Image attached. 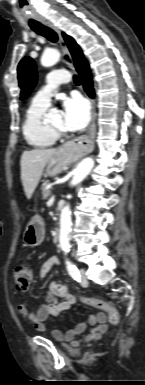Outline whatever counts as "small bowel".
Listing matches in <instances>:
<instances>
[{"instance_id":"1","label":"small bowel","mask_w":145,"mask_h":385,"mask_svg":"<svg viewBox=\"0 0 145 385\" xmlns=\"http://www.w3.org/2000/svg\"><path fill=\"white\" fill-rule=\"evenodd\" d=\"M59 265L57 257L53 256L46 260L39 268L40 277H45L52 268ZM57 284L63 286V293L60 294L55 290ZM77 301V298L69 292L67 285L63 283H52L49 287L46 301L41 304L37 312L25 305H18L19 314L32 321L39 332L47 330L46 320L50 316H58L61 312L68 310ZM90 330L87 331V328ZM106 316L104 313H95L88 315L84 321L78 323L67 332H62L58 329H53L51 334L58 341L71 342L73 346H78L82 342H88L93 339L100 338L107 331ZM82 335L80 339H75L76 336Z\"/></svg>"}]
</instances>
